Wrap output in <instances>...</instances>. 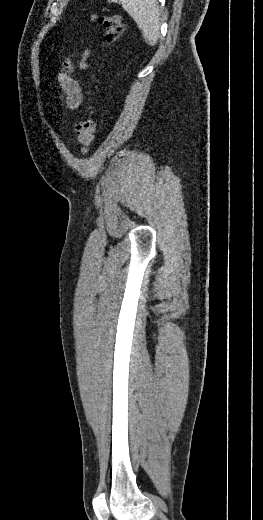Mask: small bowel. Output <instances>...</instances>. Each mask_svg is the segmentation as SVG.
I'll use <instances>...</instances> for the list:
<instances>
[{"mask_svg":"<svg viewBox=\"0 0 263 520\" xmlns=\"http://www.w3.org/2000/svg\"><path fill=\"white\" fill-rule=\"evenodd\" d=\"M89 54V51H85L80 64L81 68H86V60ZM71 70V65L68 62L65 63V71L58 75V83L62 93L61 99L63 105L69 109H75L81 104L83 96L78 81L70 73Z\"/></svg>","mask_w":263,"mask_h":520,"instance_id":"obj_1","label":"small bowel"}]
</instances>
